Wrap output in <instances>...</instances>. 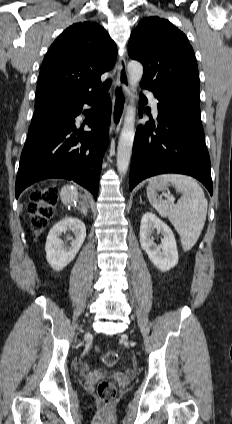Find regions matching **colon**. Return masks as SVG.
Wrapping results in <instances>:
<instances>
[{"label": "colon", "mask_w": 232, "mask_h": 424, "mask_svg": "<svg viewBox=\"0 0 232 424\" xmlns=\"http://www.w3.org/2000/svg\"><path fill=\"white\" fill-rule=\"evenodd\" d=\"M57 196V191L53 188L35 190L30 194L27 208L31 217V226L35 232H42L47 227ZM103 361L108 367L114 366L118 361V353L116 351L107 352ZM97 394L104 404H108L116 396V387L110 381H102L97 386Z\"/></svg>", "instance_id": "5ec220e1"}]
</instances>
